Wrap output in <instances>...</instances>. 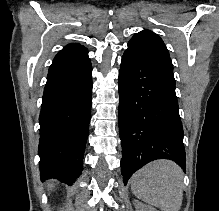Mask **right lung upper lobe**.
<instances>
[{
  "label": "right lung upper lobe",
  "instance_id": "cb5924a9",
  "mask_svg": "<svg viewBox=\"0 0 219 211\" xmlns=\"http://www.w3.org/2000/svg\"><path fill=\"white\" fill-rule=\"evenodd\" d=\"M88 57L87 49L78 44L73 43L65 46L54 58L55 60H73Z\"/></svg>",
  "mask_w": 219,
  "mask_h": 211
}]
</instances>
